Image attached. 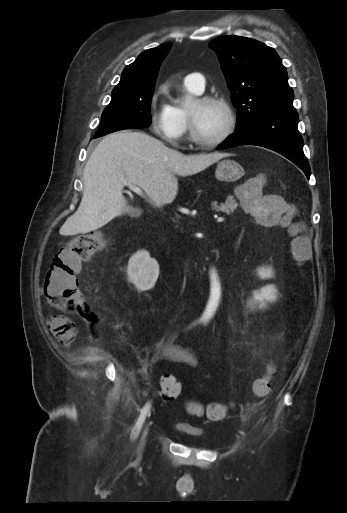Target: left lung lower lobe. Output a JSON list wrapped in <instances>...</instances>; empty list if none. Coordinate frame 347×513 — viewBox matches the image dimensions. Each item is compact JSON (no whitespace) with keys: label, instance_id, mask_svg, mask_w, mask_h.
Here are the masks:
<instances>
[{"label":"left lung lower lobe","instance_id":"1","mask_svg":"<svg viewBox=\"0 0 347 513\" xmlns=\"http://www.w3.org/2000/svg\"><path fill=\"white\" fill-rule=\"evenodd\" d=\"M298 114L272 113L259 117L247 127L237 130L218 149L240 145H257L276 151L310 177V167L303 152V139L297 129Z\"/></svg>","mask_w":347,"mask_h":513}]
</instances>
